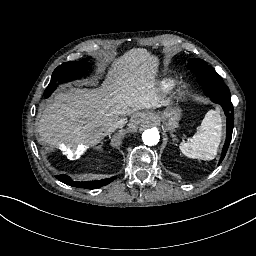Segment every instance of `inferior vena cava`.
<instances>
[{
    "mask_svg": "<svg viewBox=\"0 0 256 256\" xmlns=\"http://www.w3.org/2000/svg\"><path fill=\"white\" fill-rule=\"evenodd\" d=\"M126 123V120L125 119H121L120 121H118L116 124H114L113 126H111L109 128V131H114L116 130L117 128H122Z\"/></svg>",
    "mask_w": 256,
    "mask_h": 256,
    "instance_id": "602c4592",
    "label": "inferior vena cava"
}]
</instances>
